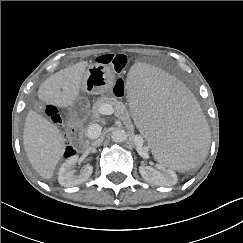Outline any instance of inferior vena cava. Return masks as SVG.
Returning a JSON list of instances; mask_svg holds the SVG:
<instances>
[{
	"label": "inferior vena cava",
	"mask_w": 243,
	"mask_h": 243,
	"mask_svg": "<svg viewBox=\"0 0 243 243\" xmlns=\"http://www.w3.org/2000/svg\"><path fill=\"white\" fill-rule=\"evenodd\" d=\"M100 135V134H99ZM99 135H97L96 137H94V138H91V139H96L95 141H93L92 142V147H97V146H99L100 144H101V142H102V139H97L98 137H99Z\"/></svg>",
	"instance_id": "1"
}]
</instances>
